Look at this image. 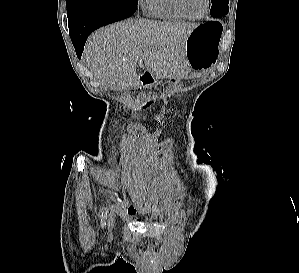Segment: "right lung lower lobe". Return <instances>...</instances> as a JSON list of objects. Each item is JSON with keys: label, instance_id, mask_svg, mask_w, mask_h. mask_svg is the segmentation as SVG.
<instances>
[{"label": "right lung lower lobe", "instance_id": "right-lung-lower-lobe-1", "mask_svg": "<svg viewBox=\"0 0 299 273\" xmlns=\"http://www.w3.org/2000/svg\"><path fill=\"white\" fill-rule=\"evenodd\" d=\"M136 6L117 4L72 5L67 10L68 26L78 58H81L87 37L97 28L130 17Z\"/></svg>", "mask_w": 299, "mask_h": 273}]
</instances>
